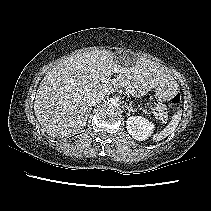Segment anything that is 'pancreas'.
Instances as JSON below:
<instances>
[{"label":"pancreas","instance_id":"1","mask_svg":"<svg viewBox=\"0 0 211 211\" xmlns=\"http://www.w3.org/2000/svg\"><path fill=\"white\" fill-rule=\"evenodd\" d=\"M156 110L160 111V114H159V118L163 121L167 120L168 116H167V112L164 111L163 107L161 105H156L155 107Z\"/></svg>","mask_w":211,"mask_h":211}]
</instances>
